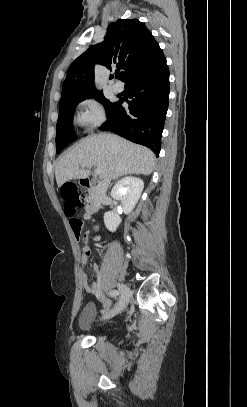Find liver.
<instances>
[{
	"label": "liver",
	"instance_id": "6515ba94",
	"mask_svg": "<svg viewBox=\"0 0 247 407\" xmlns=\"http://www.w3.org/2000/svg\"><path fill=\"white\" fill-rule=\"evenodd\" d=\"M92 166L100 169L101 178L150 175L155 167V156L150 149L116 135H92L82 139L58 161L55 169L58 187L68 180L89 177Z\"/></svg>",
	"mask_w": 247,
	"mask_h": 407
}]
</instances>
